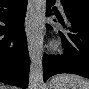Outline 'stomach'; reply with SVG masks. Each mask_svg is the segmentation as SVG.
Listing matches in <instances>:
<instances>
[{"mask_svg": "<svg viewBox=\"0 0 89 89\" xmlns=\"http://www.w3.org/2000/svg\"><path fill=\"white\" fill-rule=\"evenodd\" d=\"M47 89H61L59 85L57 84H53V83H49Z\"/></svg>", "mask_w": 89, "mask_h": 89, "instance_id": "obj_1", "label": "stomach"}]
</instances>
